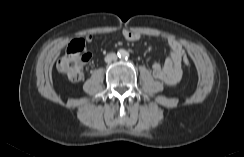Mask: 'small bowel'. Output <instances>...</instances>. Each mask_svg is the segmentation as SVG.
I'll return each instance as SVG.
<instances>
[{
  "instance_id": "c3829d8e",
  "label": "small bowel",
  "mask_w": 244,
  "mask_h": 157,
  "mask_svg": "<svg viewBox=\"0 0 244 157\" xmlns=\"http://www.w3.org/2000/svg\"><path fill=\"white\" fill-rule=\"evenodd\" d=\"M123 37L128 41H138L141 35L129 30L123 31ZM87 42L93 40L92 35L86 37ZM167 45L171 52L164 64L154 62L152 64L153 76L168 85H174L178 83L182 77V58L184 56V50L179 42L173 38L167 39Z\"/></svg>"
}]
</instances>
